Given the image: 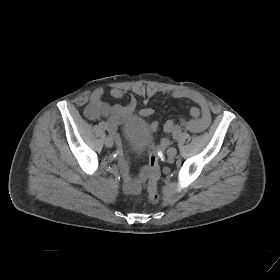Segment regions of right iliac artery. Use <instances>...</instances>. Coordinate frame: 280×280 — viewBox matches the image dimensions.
Listing matches in <instances>:
<instances>
[{
  "label": "right iliac artery",
  "mask_w": 280,
  "mask_h": 280,
  "mask_svg": "<svg viewBox=\"0 0 280 280\" xmlns=\"http://www.w3.org/2000/svg\"><path fill=\"white\" fill-rule=\"evenodd\" d=\"M99 127L103 130H106L108 127H107V123L105 121H101L99 123Z\"/></svg>",
  "instance_id": "right-iliac-artery-1"
}]
</instances>
